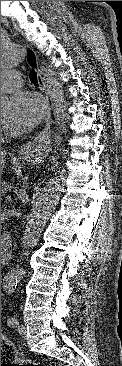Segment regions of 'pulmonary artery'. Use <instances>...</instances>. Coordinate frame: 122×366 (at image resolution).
<instances>
[{
    "label": "pulmonary artery",
    "instance_id": "pulmonary-artery-1",
    "mask_svg": "<svg viewBox=\"0 0 122 366\" xmlns=\"http://www.w3.org/2000/svg\"><path fill=\"white\" fill-rule=\"evenodd\" d=\"M21 87H22V78L18 72L15 71L1 72V93L18 90Z\"/></svg>",
    "mask_w": 122,
    "mask_h": 366
}]
</instances>
